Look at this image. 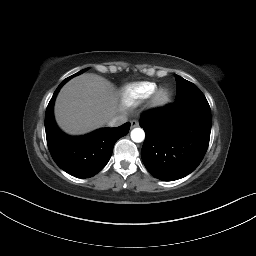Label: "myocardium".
I'll return each instance as SVG.
<instances>
[{"label": "myocardium", "mask_w": 256, "mask_h": 256, "mask_svg": "<svg viewBox=\"0 0 256 256\" xmlns=\"http://www.w3.org/2000/svg\"><path fill=\"white\" fill-rule=\"evenodd\" d=\"M171 93L167 87H160L153 93L151 105L155 108H161L170 101Z\"/></svg>", "instance_id": "myocardium-1"}]
</instances>
